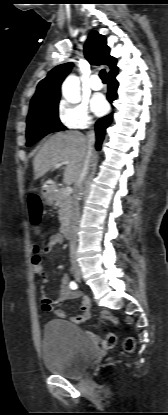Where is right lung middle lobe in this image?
I'll list each match as a JSON object with an SVG mask.
<instances>
[{
    "instance_id": "obj_1",
    "label": "right lung middle lobe",
    "mask_w": 168,
    "mask_h": 415,
    "mask_svg": "<svg viewBox=\"0 0 168 415\" xmlns=\"http://www.w3.org/2000/svg\"><path fill=\"white\" fill-rule=\"evenodd\" d=\"M58 103L59 101L52 102L29 111L26 129L27 146H31L49 133L67 129L59 120Z\"/></svg>"
}]
</instances>
